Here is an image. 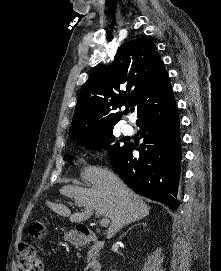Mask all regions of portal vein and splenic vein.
Segmentation results:
<instances>
[{
	"label": "portal vein and splenic vein",
	"mask_w": 221,
	"mask_h": 271,
	"mask_svg": "<svg viewBox=\"0 0 221 271\" xmlns=\"http://www.w3.org/2000/svg\"><path fill=\"white\" fill-rule=\"evenodd\" d=\"M97 215H99V213H97ZM99 223L102 227H107L110 223V219H108V217H102V219H99Z\"/></svg>",
	"instance_id": "portal-vein-and-splenic-vein-1"
}]
</instances>
